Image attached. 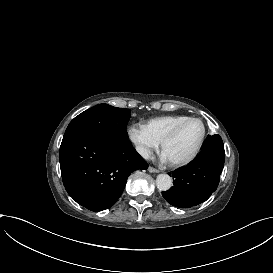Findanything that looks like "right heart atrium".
I'll return each instance as SVG.
<instances>
[{
  "label": "right heart atrium",
  "mask_w": 273,
  "mask_h": 273,
  "mask_svg": "<svg viewBox=\"0 0 273 273\" xmlns=\"http://www.w3.org/2000/svg\"><path fill=\"white\" fill-rule=\"evenodd\" d=\"M128 135L137 153L145 159L151 157L158 146V143L152 138L144 125H131L128 130Z\"/></svg>",
  "instance_id": "obj_1"
}]
</instances>
